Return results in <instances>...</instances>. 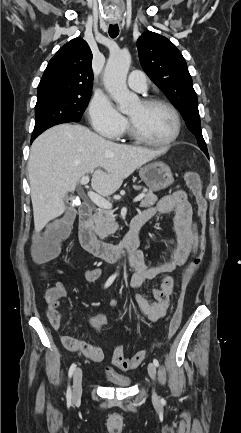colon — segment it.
Masks as SVG:
<instances>
[{
  "mask_svg": "<svg viewBox=\"0 0 241 433\" xmlns=\"http://www.w3.org/2000/svg\"><path fill=\"white\" fill-rule=\"evenodd\" d=\"M186 179L191 188L196 205L199 218L202 223V227L205 226V212H206V201L202 193V184L195 172H187ZM63 214H76L77 208L76 205H63L62 208ZM69 230V217L64 216L57 222H55L52 226L48 228V230L40 236L34 243L32 254L36 261L44 262L50 259L57 251L60 241L63 237L66 236ZM205 241L202 239L201 248L204 249ZM200 257H197L193 260L190 265L184 271L180 287L179 294L177 299L176 308L173 312V315L169 322L168 327V336L172 337L180 327L182 322L184 307L187 297V292L189 288V284L191 279L198 269L200 265ZM54 293L52 291H48L47 297H53ZM146 357V353L143 351L137 352L132 357L128 358L125 355V351L123 346L119 345L115 348L113 352L112 361L113 363L124 370H130L138 367ZM114 370H108V373H114Z\"/></svg>",
  "mask_w": 241,
  "mask_h": 433,
  "instance_id": "colon-1",
  "label": "colon"
}]
</instances>
